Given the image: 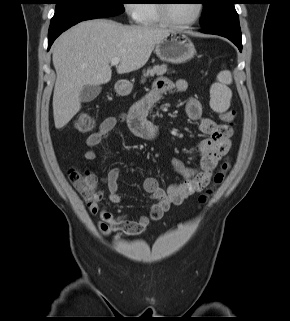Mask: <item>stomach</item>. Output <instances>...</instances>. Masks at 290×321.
I'll return each mask as SVG.
<instances>
[{
    "label": "stomach",
    "instance_id": "obj_1",
    "mask_svg": "<svg viewBox=\"0 0 290 321\" xmlns=\"http://www.w3.org/2000/svg\"><path fill=\"white\" fill-rule=\"evenodd\" d=\"M195 47L190 38L178 31L169 32L155 47V53L162 61L181 64L189 61L195 55ZM133 85L129 81L116 83L115 90L119 95H128Z\"/></svg>",
    "mask_w": 290,
    "mask_h": 321
}]
</instances>
